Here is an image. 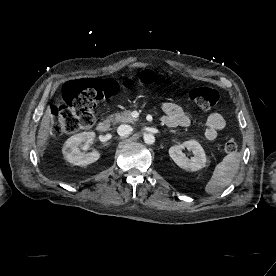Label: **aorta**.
<instances>
[{
	"instance_id": "aorta-1",
	"label": "aorta",
	"mask_w": 276,
	"mask_h": 276,
	"mask_svg": "<svg viewBox=\"0 0 276 276\" xmlns=\"http://www.w3.org/2000/svg\"><path fill=\"white\" fill-rule=\"evenodd\" d=\"M143 138L144 142L148 145H151L155 142V137L153 134H145Z\"/></svg>"
}]
</instances>
